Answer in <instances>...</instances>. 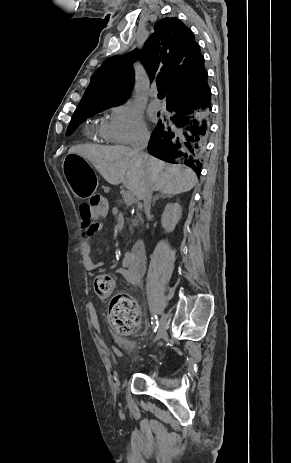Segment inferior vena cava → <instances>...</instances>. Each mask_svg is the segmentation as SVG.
<instances>
[{
	"label": "inferior vena cava",
	"mask_w": 291,
	"mask_h": 463,
	"mask_svg": "<svg viewBox=\"0 0 291 463\" xmlns=\"http://www.w3.org/2000/svg\"><path fill=\"white\" fill-rule=\"evenodd\" d=\"M149 141V135L143 134L138 141L133 145L132 152L137 155L140 159L144 158L143 150L146 148ZM153 185L150 179L145 181L142 189V200L144 211L146 215L150 214L151 198H152Z\"/></svg>",
	"instance_id": "1"
}]
</instances>
